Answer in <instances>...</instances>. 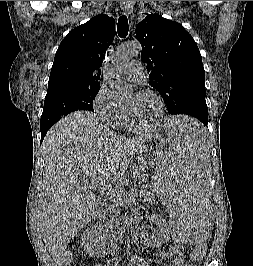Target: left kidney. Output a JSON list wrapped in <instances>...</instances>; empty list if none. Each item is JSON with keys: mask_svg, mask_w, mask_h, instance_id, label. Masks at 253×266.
Returning a JSON list of instances; mask_svg holds the SVG:
<instances>
[{"mask_svg": "<svg viewBox=\"0 0 253 266\" xmlns=\"http://www.w3.org/2000/svg\"><path fill=\"white\" fill-rule=\"evenodd\" d=\"M149 221L154 222L158 230L152 234H149L143 224L139 227V235L144 245L148 247H159L169 241L170 228L167 222L158 215H152L149 217Z\"/></svg>", "mask_w": 253, "mask_h": 266, "instance_id": "obj_1", "label": "left kidney"}]
</instances>
